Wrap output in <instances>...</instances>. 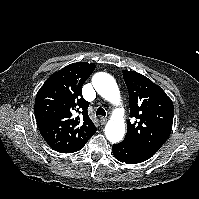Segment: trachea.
<instances>
[{
	"instance_id": "3493384b",
	"label": "trachea",
	"mask_w": 199,
	"mask_h": 199,
	"mask_svg": "<svg viewBox=\"0 0 199 199\" xmlns=\"http://www.w3.org/2000/svg\"><path fill=\"white\" fill-rule=\"evenodd\" d=\"M99 115L106 116V112H105V110L102 107H99L96 110V116H99Z\"/></svg>"
}]
</instances>
